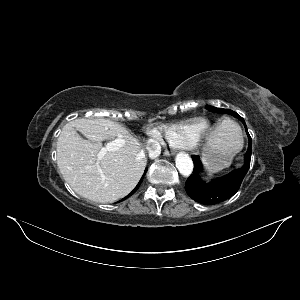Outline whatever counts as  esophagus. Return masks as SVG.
<instances>
[{"instance_id": "obj_1", "label": "esophagus", "mask_w": 300, "mask_h": 300, "mask_svg": "<svg viewBox=\"0 0 300 300\" xmlns=\"http://www.w3.org/2000/svg\"><path fill=\"white\" fill-rule=\"evenodd\" d=\"M164 154H165L166 156H170V155H174L175 152H174V151H168V150H166Z\"/></svg>"}]
</instances>
